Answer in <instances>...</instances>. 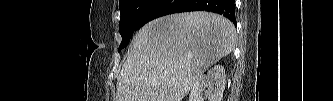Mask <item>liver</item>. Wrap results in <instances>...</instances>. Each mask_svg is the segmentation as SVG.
I'll list each match as a JSON object with an SVG mask.
<instances>
[{"instance_id": "6515ba94", "label": "liver", "mask_w": 333, "mask_h": 101, "mask_svg": "<svg viewBox=\"0 0 333 101\" xmlns=\"http://www.w3.org/2000/svg\"><path fill=\"white\" fill-rule=\"evenodd\" d=\"M234 46L235 27L221 15L195 11L157 18L133 38L116 101H182Z\"/></svg>"}]
</instances>
